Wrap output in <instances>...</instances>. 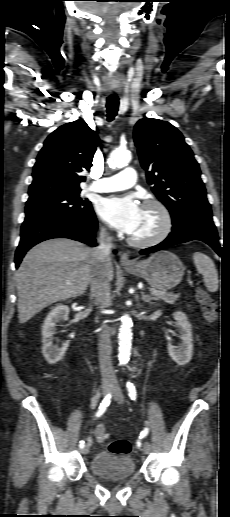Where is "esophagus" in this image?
<instances>
[{
    "instance_id": "34e87169",
    "label": "esophagus",
    "mask_w": 230,
    "mask_h": 517,
    "mask_svg": "<svg viewBox=\"0 0 230 517\" xmlns=\"http://www.w3.org/2000/svg\"><path fill=\"white\" fill-rule=\"evenodd\" d=\"M120 264L123 266H132L134 263L129 259V255L126 252L120 254Z\"/></svg>"
}]
</instances>
